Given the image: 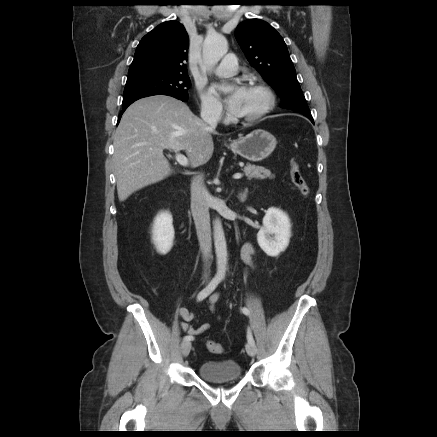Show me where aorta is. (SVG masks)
<instances>
[{
    "mask_svg": "<svg viewBox=\"0 0 437 437\" xmlns=\"http://www.w3.org/2000/svg\"><path fill=\"white\" fill-rule=\"evenodd\" d=\"M228 43L226 38L220 34L209 35L203 43L202 70L212 69L220 59L227 53ZM214 246L217 261V275L225 277L227 269V245L221 220L216 218L213 224Z\"/></svg>",
    "mask_w": 437,
    "mask_h": 437,
    "instance_id": "obj_1",
    "label": "aorta"
}]
</instances>
